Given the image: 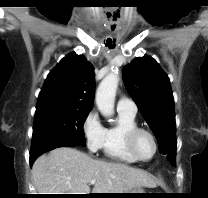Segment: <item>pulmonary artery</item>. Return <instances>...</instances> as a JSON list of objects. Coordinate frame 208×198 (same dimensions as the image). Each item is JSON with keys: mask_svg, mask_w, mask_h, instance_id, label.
Masks as SVG:
<instances>
[{"mask_svg": "<svg viewBox=\"0 0 208 198\" xmlns=\"http://www.w3.org/2000/svg\"><path fill=\"white\" fill-rule=\"evenodd\" d=\"M117 110L135 115L137 112V106L130 98L121 97L117 101Z\"/></svg>", "mask_w": 208, "mask_h": 198, "instance_id": "1", "label": "pulmonary artery"}]
</instances>
